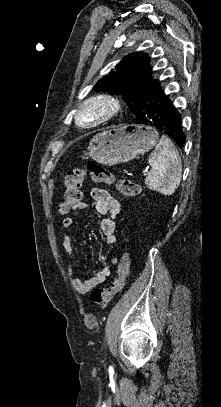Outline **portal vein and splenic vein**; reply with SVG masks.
<instances>
[{
  "label": "portal vein and splenic vein",
  "instance_id": "18ae733b",
  "mask_svg": "<svg viewBox=\"0 0 221 407\" xmlns=\"http://www.w3.org/2000/svg\"><path fill=\"white\" fill-rule=\"evenodd\" d=\"M143 174H144V175L148 174V169H145V170L143 171Z\"/></svg>",
  "mask_w": 221,
  "mask_h": 407
}]
</instances>
